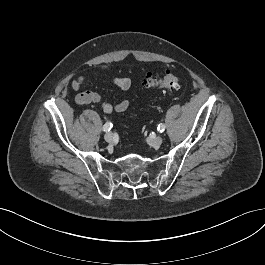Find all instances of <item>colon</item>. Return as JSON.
I'll return each mask as SVG.
<instances>
[{
  "label": "colon",
  "instance_id": "obj_1",
  "mask_svg": "<svg viewBox=\"0 0 265 265\" xmlns=\"http://www.w3.org/2000/svg\"><path fill=\"white\" fill-rule=\"evenodd\" d=\"M142 83L146 88H159L165 91H177L183 86L181 79L171 72H167L162 77L147 73Z\"/></svg>",
  "mask_w": 265,
  "mask_h": 265
}]
</instances>
